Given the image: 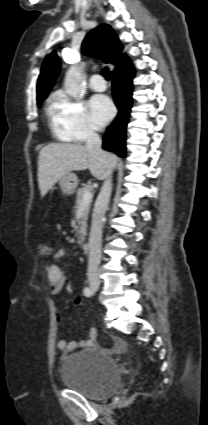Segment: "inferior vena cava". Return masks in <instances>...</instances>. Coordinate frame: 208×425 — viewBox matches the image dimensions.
Listing matches in <instances>:
<instances>
[{
	"mask_svg": "<svg viewBox=\"0 0 208 425\" xmlns=\"http://www.w3.org/2000/svg\"><path fill=\"white\" fill-rule=\"evenodd\" d=\"M101 138L91 128L87 132L86 147L97 153L102 159H108V153L101 149ZM113 165H109L108 171L104 178V183L95 203L92 215V223L89 238V263H88V280L89 282L99 283V265L101 261V242L103 217L108 208L111 191L112 180L111 175Z\"/></svg>",
	"mask_w": 208,
	"mask_h": 425,
	"instance_id": "1",
	"label": "inferior vena cava"
}]
</instances>
